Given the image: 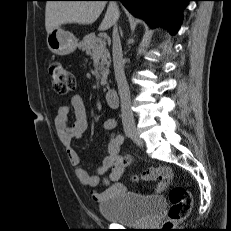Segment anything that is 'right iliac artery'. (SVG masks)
I'll return each instance as SVG.
<instances>
[{
	"instance_id": "82829eb1",
	"label": "right iliac artery",
	"mask_w": 231,
	"mask_h": 231,
	"mask_svg": "<svg viewBox=\"0 0 231 231\" xmlns=\"http://www.w3.org/2000/svg\"><path fill=\"white\" fill-rule=\"evenodd\" d=\"M117 140H118V142H119L120 144H122V143L124 142V136L121 135V134H119V135L117 136Z\"/></svg>"
}]
</instances>
